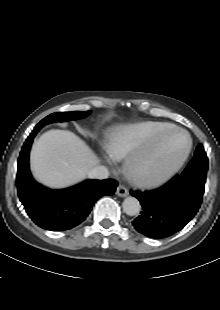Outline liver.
<instances>
[{"label":"liver","instance_id":"liver-1","mask_svg":"<svg viewBox=\"0 0 220 310\" xmlns=\"http://www.w3.org/2000/svg\"><path fill=\"white\" fill-rule=\"evenodd\" d=\"M31 169L35 178L52 188H63L83 180L97 166L93 151L74 133L49 130L33 145Z\"/></svg>","mask_w":220,"mask_h":310}]
</instances>
